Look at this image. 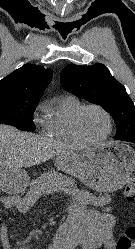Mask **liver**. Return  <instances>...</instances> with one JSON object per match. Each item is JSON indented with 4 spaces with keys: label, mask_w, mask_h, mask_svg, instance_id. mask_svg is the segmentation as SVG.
<instances>
[{
    "label": "liver",
    "mask_w": 135,
    "mask_h": 249,
    "mask_svg": "<svg viewBox=\"0 0 135 249\" xmlns=\"http://www.w3.org/2000/svg\"><path fill=\"white\" fill-rule=\"evenodd\" d=\"M77 149L80 148L0 124V166L6 170L32 167Z\"/></svg>",
    "instance_id": "6515ba94"
}]
</instances>
